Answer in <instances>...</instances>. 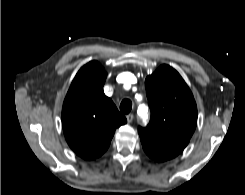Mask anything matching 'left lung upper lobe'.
Wrapping results in <instances>:
<instances>
[{
    "label": "left lung upper lobe",
    "instance_id": "left-lung-upper-lobe-1",
    "mask_svg": "<svg viewBox=\"0 0 245 195\" xmlns=\"http://www.w3.org/2000/svg\"><path fill=\"white\" fill-rule=\"evenodd\" d=\"M151 110L147 127L138 128L141 141L161 150L181 153L197 125V106L180 74L168 65L160 66L145 80Z\"/></svg>",
    "mask_w": 245,
    "mask_h": 195
}]
</instances>
